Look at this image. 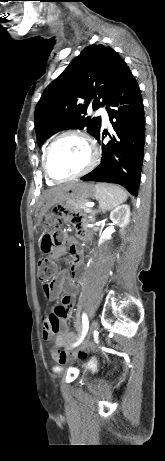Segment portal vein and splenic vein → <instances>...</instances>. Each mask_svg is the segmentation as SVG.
Wrapping results in <instances>:
<instances>
[{
  "label": "portal vein and splenic vein",
  "instance_id": "obj_1",
  "mask_svg": "<svg viewBox=\"0 0 165 461\" xmlns=\"http://www.w3.org/2000/svg\"><path fill=\"white\" fill-rule=\"evenodd\" d=\"M85 206L88 208V211L93 208L94 203L93 202H88L85 204Z\"/></svg>",
  "mask_w": 165,
  "mask_h": 461
}]
</instances>
